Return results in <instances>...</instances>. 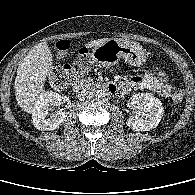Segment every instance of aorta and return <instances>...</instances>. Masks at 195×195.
Returning a JSON list of instances; mask_svg holds the SVG:
<instances>
[{
    "label": "aorta",
    "mask_w": 195,
    "mask_h": 195,
    "mask_svg": "<svg viewBox=\"0 0 195 195\" xmlns=\"http://www.w3.org/2000/svg\"><path fill=\"white\" fill-rule=\"evenodd\" d=\"M96 98L102 99L106 96V91L104 89H99L95 93Z\"/></svg>",
    "instance_id": "762f6f07"
}]
</instances>
